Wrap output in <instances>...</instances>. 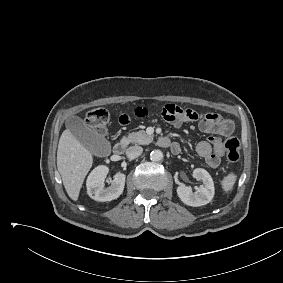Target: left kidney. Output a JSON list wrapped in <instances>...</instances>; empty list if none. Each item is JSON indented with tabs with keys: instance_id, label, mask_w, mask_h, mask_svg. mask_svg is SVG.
<instances>
[{
	"instance_id": "5707ae66",
	"label": "left kidney",
	"mask_w": 283,
	"mask_h": 283,
	"mask_svg": "<svg viewBox=\"0 0 283 283\" xmlns=\"http://www.w3.org/2000/svg\"><path fill=\"white\" fill-rule=\"evenodd\" d=\"M192 175L196 180L201 181L202 185L196 188V192H193L191 187L181 184L177 187L178 197L183 203L193 207L208 204L215 194L211 175L202 168H196Z\"/></svg>"
}]
</instances>
